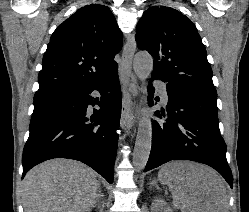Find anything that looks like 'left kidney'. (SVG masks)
<instances>
[{
  "label": "left kidney",
  "instance_id": "obj_1",
  "mask_svg": "<svg viewBox=\"0 0 249 212\" xmlns=\"http://www.w3.org/2000/svg\"><path fill=\"white\" fill-rule=\"evenodd\" d=\"M161 212H164V208H162Z\"/></svg>",
  "mask_w": 249,
  "mask_h": 212
}]
</instances>
